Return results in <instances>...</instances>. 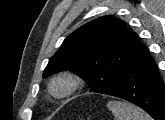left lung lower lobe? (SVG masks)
Here are the masks:
<instances>
[{
	"mask_svg": "<svg viewBox=\"0 0 165 120\" xmlns=\"http://www.w3.org/2000/svg\"><path fill=\"white\" fill-rule=\"evenodd\" d=\"M107 95L139 106L154 120H165L164 82L148 48L142 43L133 53L121 84Z\"/></svg>",
	"mask_w": 165,
	"mask_h": 120,
	"instance_id": "1",
	"label": "left lung lower lobe"
}]
</instances>
